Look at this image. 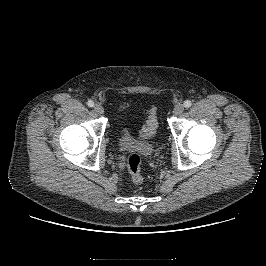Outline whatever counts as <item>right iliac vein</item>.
I'll return each mask as SVG.
<instances>
[{"label":"right iliac vein","instance_id":"63e3f726","mask_svg":"<svg viewBox=\"0 0 266 266\" xmlns=\"http://www.w3.org/2000/svg\"><path fill=\"white\" fill-rule=\"evenodd\" d=\"M94 111L99 114L102 115L104 113V108L100 105V104H96L94 106Z\"/></svg>","mask_w":266,"mask_h":266}]
</instances>
